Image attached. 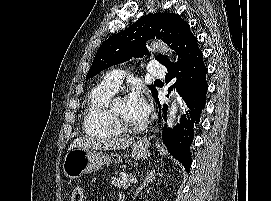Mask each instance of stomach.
I'll use <instances>...</instances> for the list:
<instances>
[{
	"mask_svg": "<svg viewBox=\"0 0 271 201\" xmlns=\"http://www.w3.org/2000/svg\"><path fill=\"white\" fill-rule=\"evenodd\" d=\"M131 157L135 160L146 159L150 156L148 146L140 143L132 145ZM114 155L102 151L76 148L69 151L63 162V171L66 177L77 179L83 174L99 170L112 162Z\"/></svg>",
	"mask_w": 271,
	"mask_h": 201,
	"instance_id": "0dacf381",
	"label": "stomach"
}]
</instances>
